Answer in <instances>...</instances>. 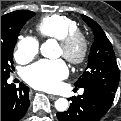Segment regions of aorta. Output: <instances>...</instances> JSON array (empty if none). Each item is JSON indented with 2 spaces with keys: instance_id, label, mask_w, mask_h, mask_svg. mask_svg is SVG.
I'll return each instance as SVG.
<instances>
[{
  "instance_id": "762f6f07",
  "label": "aorta",
  "mask_w": 121,
  "mask_h": 121,
  "mask_svg": "<svg viewBox=\"0 0 121 121\" xmlns=\"http://www.w3.org/2000/svg\"><path fill=\"white\" fill-rule=\"evenodd\" d=\"M57 49V42L54 39H49L43 43L40 47L42 56L46 58H55V51ZM69 106L68 100L65 98H59L55 101V108L59 112H64Z\"/></svg>"
}]
</instances>
